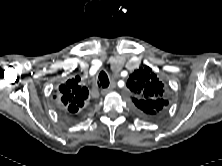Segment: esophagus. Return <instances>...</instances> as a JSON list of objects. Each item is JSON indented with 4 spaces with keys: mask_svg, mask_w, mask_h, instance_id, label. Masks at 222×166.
<instances>
[{
    "mask_svg": "<svg viewBox=\"0 0 222 166\" xmlns=\"http://www.w3.org/2000/svg\"><path fill=\"white\" fill-rule=\"evenodd\" d=\"M115 83H111V85L108 88L102 89L101 90V94L102 95H106L108 92H110L111 90H113L115 88Z\"/></svg>",
    "mask_w": 222,
    "mask_h": 166,
    "instance_id": "1",
    "label": "esophagus"
}]
</instances>
